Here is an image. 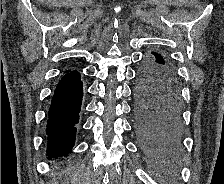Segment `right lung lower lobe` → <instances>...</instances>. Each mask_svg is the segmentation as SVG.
Returning a JSON list of instances; mask_svg holds the SVG:
<instances>
[{"mask_svg":"<svg viewBox=\"0 0 224 184\" xmlns=\"http://www.w3.org/2000/svg\"><path fill=\"white\" fill-rule=\"evenodd\" d=\"M83 97L80 73L67 71L54 91L48 111L46 134L48 158L67 156L75 143Z\"/></svg>","mask_w":224,"mask_h":184,"instance_id":"right-lung-lower-lobe-1","label":"right lung lower lobe"}]
</instances>
